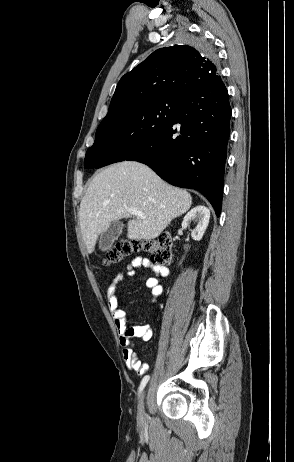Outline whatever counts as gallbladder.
<instances>
[{"label": "gallbladder", "mask_w": 294, "mask_h": 462, "mask_svg": "<svg viewBox=\"0 0 294 462\" xmlns=\"http://www.w3.org/2000/svg\"><path fill=\"white\" fill-rule=\"evenodd\" d=\"M123 223L119 220L111 223L109 228L100 235L99 249L108 250L121 235Z\"/></svg>", "instance_id": "bac80fb5"}]
</instances>
